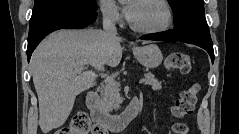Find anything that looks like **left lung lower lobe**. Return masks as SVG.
I'll list each match as a JSON object with an SVG mask.
<instances>
[{
    "label": "left lung lower lobe",
    "mask_w": 239,
    "mask_h": 134,
    "mask_svg": "<svg viewBox=\"0 0 239 134\" xmlns=\"http://www.w3.org/2000/svg\"><path fill=\"white\" fill-rule=\"evenodd\" d=\"M143 40L181 41L197 45L205 49L212 62L214 61V50L210 36L209 27L206 21H191L174 30L147 34L141 37Z\"/></svg>",
    "instance_id": "0a47b994"
}]
</instances>
